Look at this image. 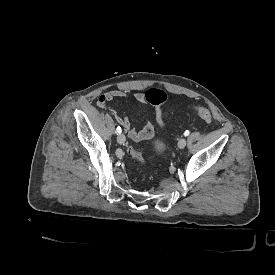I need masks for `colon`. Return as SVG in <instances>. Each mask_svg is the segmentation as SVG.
I'll use <instances>...</instances> for the list:
<instances>
[{"label": "colon", "mask_w": 275, "mask_h": 275, "mask_svg": "<svg viewBox=\"0 0 275 275\" xmlns=\"http://www.w3.org/2000/svg\"><path fill=\"white\" fill-rule=\"evenodd\" d=\"M146 101L148 102H156V103H162L165 100V95L163 93H159L154 88H151L147 91V94L145 96ZM194 113L203 119L206 123L212 124L213 123V117L210 113V111L202 106H195L193 108ZM157 120L160 124L164 125V117L162 115V111L160 108L157 109ZM128 155L133 160L142 163V158L140 152L135 147H130L128 149Z\"/></svg>", "instance_id": "5ec220e1"}]
</instances>
